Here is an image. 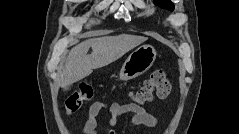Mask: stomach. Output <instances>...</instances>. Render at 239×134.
I'll use <instances>...</instances> for the list:
<instances>
[{
	"mask_svg": "<svg viewBox=\"0 0 239 134\" xmlns=\"http://www.w3.org/2000/svg\"><path fill=\"white\" fill-rule=\"evenodd\" d=\"M156 50L151 45H142L133 51L123 64L119 77L121 80L134 79L151 68L156 59Z\"/></svg>",
	"mask_w": 239,
	"mask_h": 134,
	"instance_id": "0dacf381",
	"label": "stomach"
}]
</instances>
